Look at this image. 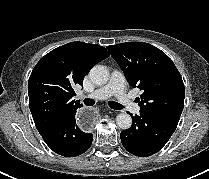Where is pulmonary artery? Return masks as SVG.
<instances>
[{"instance_id":"e3ab8cb5","label":"pulmonary artery","mask_w":209,"mask_h":179,"mask_svg":"<svg viewBox=\"0 0 209 179\" xmlns=\"http://www.w3.org/2000/svg\"><path fill=\"white\" fill-rule=\"evenodd\" d=\"M94 100H104L110 96H115L118 102L128 111L138 114L140 106L134 103L125 92V78L121 71L114 70L111 73L109 82L95 91L84 95Z\"/></svg>"}]
</instances>
